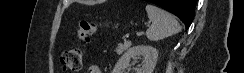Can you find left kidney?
<instances>
[{
    "mask_svg": "<svg viewBox=\"0 0 244 73\" xmlns=\"http://www.w3.org/2000/svg\"><path fill=\"white\" fill-rule=\"evenodd\" d=\"M143 57V64L135 68L134 73H153L158 59V50L149 45H137L131 47L116 63L112 73H123L129 67L131 58Z\"/></svg>",
    "mask_w": 244,
    "mask_h": 73,
    "instance_id": "5707ae66",
    "label": "left kidney"
}]
</instances>
